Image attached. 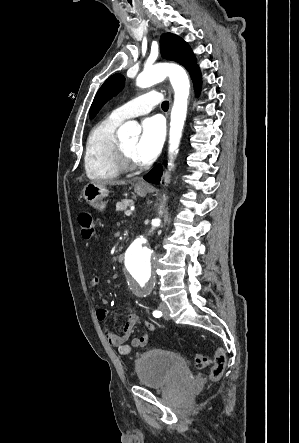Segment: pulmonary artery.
<instances>
[{"label":"pulmonary artery","mask_w":299,"mask_h":443,"mask_svg":"<svg viewBox=\"0 0 299 443\" xmlns=\"http://www.w3.org/2000/svg\"><path fill=\"white\" fill-rule=\"evenodd\" d=\"M161 101L162 95L159 92L150 91L114 109L111 112V116L115 119L123 121L149 113Z\"/></svg>","instance_id":"e3ab8cb5"}]
</instances>
